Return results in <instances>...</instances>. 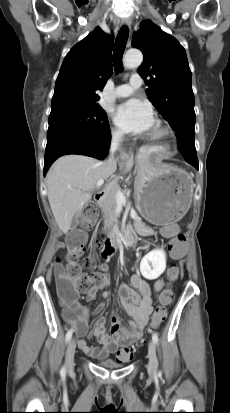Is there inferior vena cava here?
<instances>
[{
  "instance_id": "obj_1",
  "label": "inferior vena cava",
  "mask_w": 230,
  "mask_h": 413,
  "mask_svg": "<svg viewBox=\"0 0 230 413\" xmlns=\"http://www.w3.org/2000/svg\"><path fill=\"white\" fill-rule=\"evenodd\" d=\"M122 140V134L119 132H116L113 134L112 139H111V144H110V149H109V157L105 161V166L108 168H116V160L114 159V153L117 151L118 146Z\"/></svg>"
}]
</instances>
